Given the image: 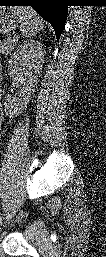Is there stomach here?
Listing matches in <instances>:
<instances>
[{
  "label": "stomach",
  "instance_id": "stomach-1",
  "mask_svg": "<svg viewBox=\"0 0 106 257\" xmlns=\"http://www.w3.org/2000/svg\"><path fill=\"white\" fill-rule=\"evenodd\" d=\"M21 22L16 7H0V33L6 34L14 30Z\"/></svg>",
  "mask_w": 106,
  "mask_h": 257
}]
</instances>
